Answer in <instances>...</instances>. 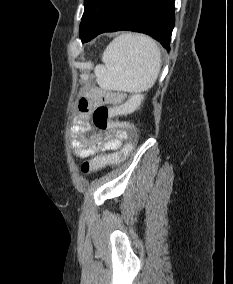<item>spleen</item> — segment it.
Listing matches in <instances>:
<instances>
[{
  "instance_id": "spleen-1",
  "label": "spleen",
  "mask_w": 233,
  "mask_h": 284,
  "mask_svg": "<svg viewBox=\"0 0 233 284\" xmlns=\"http://www.w3.org/2000/svg\"><path fill=\"white\" fill-rule=\"evenodd\" d=\"M104 65L94 69L104 89L141 93L155 84L161 68V52L150 37L124 33L116 37L102 55Z\"/></svg>"
}]
</instances>
